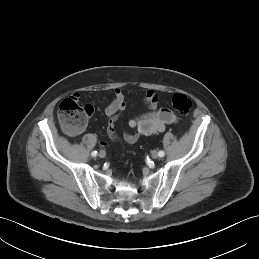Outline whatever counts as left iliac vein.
Here are the masks:
<instances>
[{"instance_id":"obj_1","label":"left iliac vein","mask_w":259,"mask_h":259,"mask_svg":"<svg viewBox=\"0 0 259 259\" xmlns=\"http://www.w3.org/2000/svg\"><path fill=\"white\" fill-rule=\"evenodd\" d=\"M151 157H152L153 159H157V158H158V152H157L156 150H153V151L151 152Z\"/></svg>"}]
</instances>
